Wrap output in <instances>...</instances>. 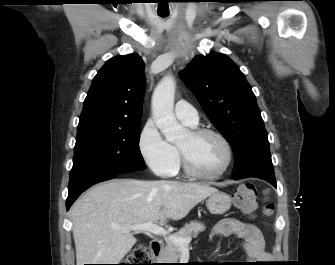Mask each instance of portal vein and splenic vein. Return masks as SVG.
Wrapping results in <instances>:
<instances>
[{"mask_svg": "<svg viewBox=\"0 0 335 265\" xmlns=\"http://www.w3.org/2000/svg\"><path fill=\"white\" fill-rule=\"evenodd\" d=\"M123 231H143V232H150L155 235H160L166 237L168 235V231L165 230L163 227L155 224L153 222H146L143 224H136L129 227H122L117 228ZM168 239L172 240V242L180 247H187L191 242V239L176 237L174 235L168 236Z\"/></svg>", "mask_w": 335, "mask_h": 265, "instance_id": "obj_1", "label": "portal vein and splenic vein"}]
</instances>
